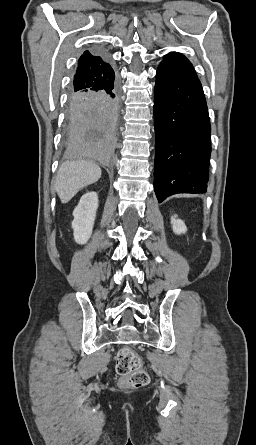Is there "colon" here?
<instances>
[{"label": "colon", "mask_w": 256, "mask_h": 445, "mask_svg": "<svg viewBox=\"0 0 256 445\" xmlns=\"http://www.w3.org/2000/svg\"><path fill=\"white\" fill-rule=\"evenodd\" d=\"M116 372L119 375L120 384L124 387L141 388L149 381L140 356L129 347H124L118 352Z\"/></svg>", "instance_id": "colon-1"}]
</instances>
